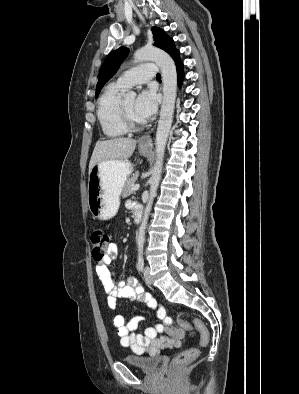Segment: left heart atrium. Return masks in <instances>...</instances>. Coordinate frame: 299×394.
I'll return each instance as SVG.
<instances>
[{"mask_svg": "<svg viewBox=\"0 0 299 394\" xmlns=\"http://www.w3.org/2000/svg\"><path fill=\"white\" fill-rule=\"evenodd\" d=\"M157 110V99L154 91L144 90L135 100L134 111L136 116L145 121L149 119Z\"/></svg>", "mask_w": 299, "mask_h": 394, "instance_id": "39dd6f15", "label": "left heart atrium"}]
</instances>
